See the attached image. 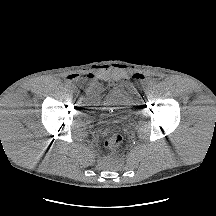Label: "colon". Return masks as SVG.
<instances>
[{"label": "colon", "instance_id": "5ec220e1", "mask_svg": "<svg viewBox=\"0 0 216 216\" xmlns=\"http://www.w3.org/2000/svg\"><path fill=\"white\" fill-rule=\"evenodd\" d=\"M123 142V137L120 133H111L104 139V147L110 150L118 149Z\"/></svg>", "mask_w": 216, "mask_h": 216}]
</instances>
